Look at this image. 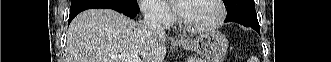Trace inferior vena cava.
<instances>
[{
	"label": "inferior vena cava",
	"instance_id": "602c4592",
	"mask_svg": "<svg viewBox=\"0 0 331 62\" xmlns=\"http://www.w3.org/2000/svg\"><path fill=\"white\" fill-rule=\"evenodd\" d=\"M143 26L152 33L163 35L164 30L162 28L160 9L156 7L146 8L143 18Z\"/></svg>",
	"mask_w": 331,
	"mask_h": 62
}]
</instances>
